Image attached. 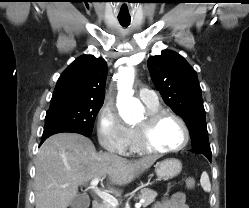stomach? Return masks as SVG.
I'll return each mask as SVG.
<instances>
[{
	"mask_svg": "<svg viewBox=\"0 0 249 208\" xmlns=\"http://www.w3.org/2000/svg\"><path fill=\"white\" fill-rule=\"evenodd\" d=\"M182 163L175 158H170L158 162L155 165V172L159 179L169 180L180 174Z\"/></svg>",
	"mask_w": 249,
	"mask_h": 208,
	"instance_id": "1",
	"label": "stomach"
}]
</instances>
